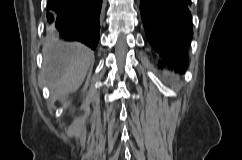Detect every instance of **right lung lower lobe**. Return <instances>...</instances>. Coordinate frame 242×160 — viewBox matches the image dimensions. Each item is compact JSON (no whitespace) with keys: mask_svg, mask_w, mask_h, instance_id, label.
<instances>
[{"mask_svg":"<svg viewBox=\"0 0 242 160\" xmlns=\"http://www.w3.org/2000/svg\"><path fill=\"white\" fill-rule=\"evenodd\" d=\"M103 0H48L49 35L80 41L95 49L99 40V17Z\"/></svg>","mask_w":242,"mask_h":160,"instance_id":"1","label":"right lung lower lobe"}]
</instances>
